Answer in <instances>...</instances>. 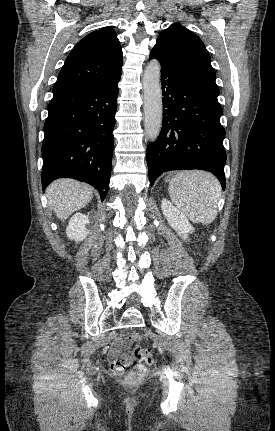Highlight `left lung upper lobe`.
<instances>
[{
    "instance_id": "left-lung-upper-lobe-1",
    "label": "left lung upper lobe",
    "mask_w": 275,
    "mask_h": 431,
    "mask_svg": "<svg viewBox=\"0 0 275 431\" xmlns=\"http://www.w3.org/2000/svg\"><path fill=\"white\" fill-rule=\"evenodd\" d=\"M152 50L218 103L219 88L215 83L216 75L211 66V58L196 34L179 24H172L160 33Z\"/></svg>"
}]
</instances>
